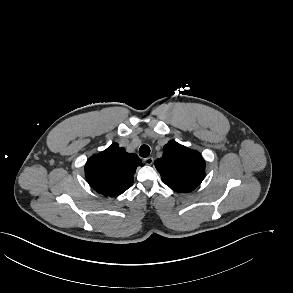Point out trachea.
Listing matches in <instances>:
<instances>
[{
    "label": "trachea",
    "instance_id": "obj_1",
    "mask_svg": "<svg viewBox=\"0 0 293 293\" xmlns=\"http://www.w3.org/2000/svg\"><path fill=\"white\" fill-rule=\"evenodd\" d=\"M150 154V148L147 145H142L139 149V155L143 158L148 157Z\"/></svg>",
    "mask_w": 293,
    "mask_h": 293
}]
</instances>
